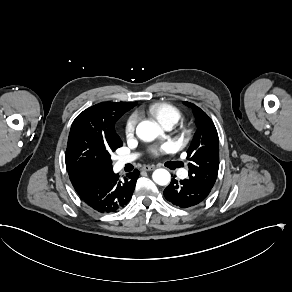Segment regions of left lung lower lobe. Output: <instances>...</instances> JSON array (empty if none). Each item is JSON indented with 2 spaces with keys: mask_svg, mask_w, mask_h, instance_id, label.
Segmentation results:
<instances>
[{
  "mask_svg": "<svg viewBox=\"0 0 292 292\" xmlns=\"http://www.w3.org/2000/svg\"><path fill=\"white\" fill-rule=\"evenodd\" d=\"M210 191V188L193 183L188 179L180 181L172 179L164 190V196L175 206L190 208L204 201Z\"/></svg>",
  "mask_w": 292,
  "mask_h": 292,
  "instance_id": "obj_1",
  "label": "left lung lower lobe"
}]
</instances>
